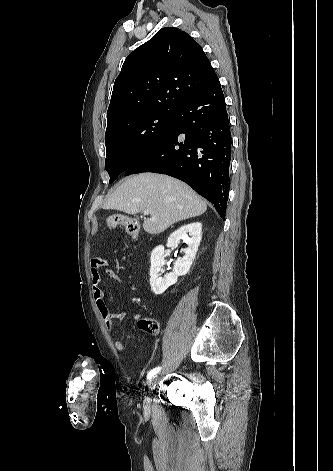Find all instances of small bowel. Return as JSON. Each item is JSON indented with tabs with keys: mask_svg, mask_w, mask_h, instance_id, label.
<instances>
[{
	"mask_svg": "<svg viewBox=\"0 0 333 471\" xmlns=\"http://www.w3.org/2000/svg\"><path fill=\"white\" fill-rule=\"evenodd\" d=\"M108 265L109 260L103 257H95L90 261V274L92 280L93 298L98 308V311L104 321L106 329L111 330L115 321H121L126 317V311L112 312L105 303L104 292L101 288L102 278L100 271L102 269H105V274L108 277L117 281L118 283H124L123 278L117 272L107 269ZM134 318L137 319L138 315H135ZM115 347L118 351H125V345L121 340L115 341Z\"/></svg>",
	"mask_w": 333,
	"mask_h": 471,
	"instance_id": "obj_1",
	"label": "small bowel"
}]
</instances>
